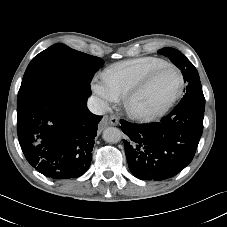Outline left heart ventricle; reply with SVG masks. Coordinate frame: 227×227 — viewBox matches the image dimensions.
<instances>
[{
    "label": "left heart ventricle",
    "mask_w": 227,
    "mask_h": 227,
    "mask_svg": "<svg viewBox=\"0 0 227 227\" xmlns=\"http://www.w3.org/2000/svg\"><path fill=\"white\" fill-rule=\"evenodd\" d=\"M178 87V72L172 68L165 69L132 101L131 106L140 112L156 111L172 98Z\"/></svg>",
    "instance_id": "obj_1"
}]
</instances>
